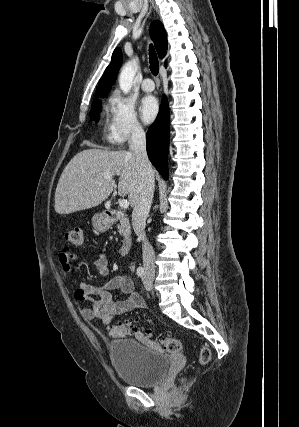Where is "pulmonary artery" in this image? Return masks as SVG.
Listing matches in <instances>:
<instances>
[{
	"instance_id": "e3ab8cb5",
	"label": "pulmonary artery",
	"mask_w": 299,
	"mask_h": 427,
	"mask_svg": "<svg viewBox=\"0 0 299 427\" xmlns=\"http://www.w3.org/2000/svg\"><path fill=\"white\" fill-rule=\"evenodd\" d=\"M141 88L145 92H151L154 90V83L150 78L146 77L141 83Z\"/></svg>"
}]
</instances>
